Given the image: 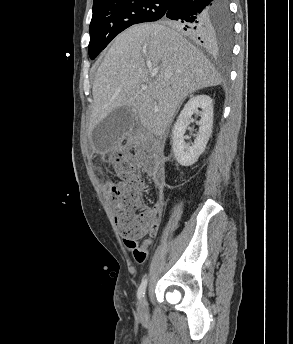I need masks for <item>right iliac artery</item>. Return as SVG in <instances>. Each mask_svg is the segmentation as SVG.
Returning <instances> with one entry per match:
<instances>
[{"label":"right iliac artery","instance_id":"1","mask_svg":"<svg viewBox=\"0 0 293 344\" xmlns=\"http://www.w3.org/2000/svg\"><path fill=\"white\" fill-rule=\"evenodd\" d=\"M146 286H147V279L143 280L138 288L137 296L139 300H141L142 297H144Z\"/></svg>","mask_w":293,"mask_h":344}]
</instances>
